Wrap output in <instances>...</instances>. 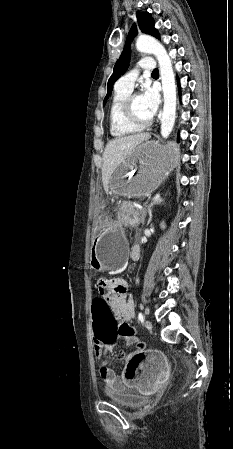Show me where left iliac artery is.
<instances>
[{
    "mask_svg": "<svg viewBox=\"0 0 233 449\" xmlns=\"http://www.w3.org/2000/svg\"><path fill=\"white\" fill-rule=\"evenodd\" d=\"M138 321L141 323L144 321V316H143L142 312H139V314H138Z\"/></svg>",
    "mask_w": 233,
    "mask_h": 449,
    "instance_id": "44dca946",
    "label": "left iliac artery"
}]
</instances>
